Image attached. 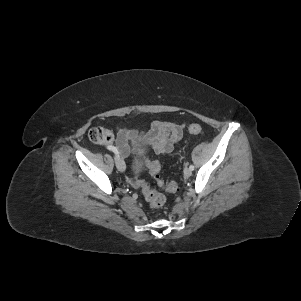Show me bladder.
<instances>
[{
	"label": "bladder",
	"instance_id": "bladder-1",
	"mask_svg": "<svg viewBox=\"0 0 301 301\" xmlns=\"http://www.w3.org/2000/svg\"><path fill=\"white\" fill-rule=\"evenodd\" d=\"M146 154V150L145 149H139L133 156L132 158V162H131V171L133 173H138L139 171H141L142 167H143V158Z\"/></svg>",
	"mask_w": 301,
	"mask_h": 301
}]
</instances>
